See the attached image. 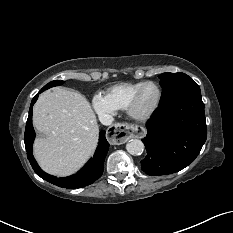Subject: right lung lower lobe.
<instances>
[{
  "label": "right lung lower lobe",
  "mask_w": 233,
  "mask_h": 233,
  "mask_svg": "<svg viewBox=\"0 0 233 233\" xmlns=\"http://www.w3.org/2000/svg\"><path fill=\"white\" fill-rule=\"evenodd\" d=\"M41 92L43 91L40 90L39 93ZM37 98H38V94L33 98L31 102L29 109V116L26 123L25 135H24L27 157L35 173L38 174L44 180L59 187H65V188L84 187L93 183L98 178H100L103 173L104 159L109 149V143L105 138V131L100 132L99 143L94 157L91 158L88 161V163L75 175L66 178H57L55 176L45 173L40 169L32 154V144L35 139V131L32 125V113H33L32 108Z\"/></svg>",
  "instance_id": "right-lung-lower-lobe-1"
}]
</instances>
